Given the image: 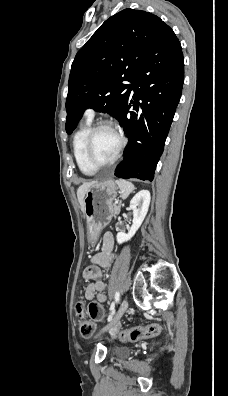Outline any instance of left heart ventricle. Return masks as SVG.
Returning <instances> with one entry per match:
<instances>
[{"instance_id":"left-heart-ventricle-1","label":"left heart ventricle","mask_w":228,"mask_h":396,"mask_svg":"<svg viewBox=\"0 0 228 396\" xmlns=\"http://www.w3.org/2000/svg\"><path fill=\"white\" fill-rule=\"evenodd\" d=\"M119 145L118 136L110 128L100 129L94 136L91 156L95 163L105 164L115 155Z\"/></svg>"}]
</instances>
